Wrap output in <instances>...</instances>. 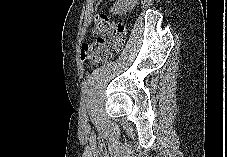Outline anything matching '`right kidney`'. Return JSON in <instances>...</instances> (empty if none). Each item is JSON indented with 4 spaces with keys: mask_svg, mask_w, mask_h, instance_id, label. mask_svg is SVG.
Listing matches in <instances>:
<instances>
[{
    "mask_svg": "<svg viewBox=\"0 0 227 157\" xmlns=\"http://www.w3.org/2000/svg\"><path fill=\"white\" fill-rule=\"evenodd\" d=\"M123 2H130L129 0L125 1H118L116 5H114L113 9L111 10L114 14H121V12L126 11L127 5H123Z\"/></svg>",
    "mask_w": 227,
    "mask_h": 157,
    "instance_id": "ca27d5eb",
    "label": "right kidney"
}]
</instances>
